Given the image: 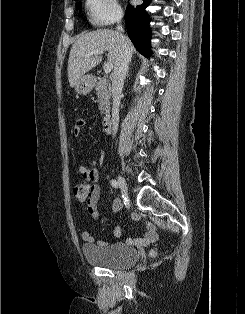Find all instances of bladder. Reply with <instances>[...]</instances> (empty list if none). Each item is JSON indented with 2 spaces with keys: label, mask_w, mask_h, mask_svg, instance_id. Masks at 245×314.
Instances as JSON below:
<instances>
[{
  "label": "bladder",
  "mask_w": 245,
  "mask_h": 314,
  "mask_svg": "<svg viewBox=\"0 0 245 314\" xmlns=\"http://www.w3.org/2000/svg\"><path fill=\"white\" fill-rule=\"evenodd\" d=\"M82 251L88 263L108 268L131 266L138 260V252L123 243H106L101 246L86 244Z\"/></svg>",
  "instance_id": "obj_1"
}]
</instances>
